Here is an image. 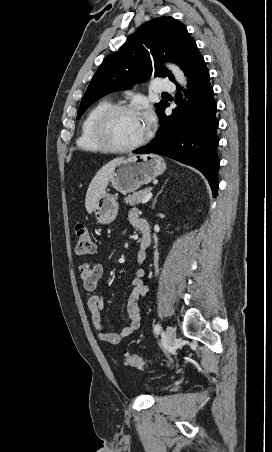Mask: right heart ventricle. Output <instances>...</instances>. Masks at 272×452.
<instances>
[{"mask_svg": "<svg viewBox=\"0 0 272 452\" xmlns=\"http://www.w3.org/2000/svg\"><path fill=\"white\" fill-rule=\"evenodd\" d=\"M112 105L110 100L104 99L97 102L86 114L77 138V146L89 152H101L106 150L98 141L94 133V122L98 114L106 107Z\"/></svg>", "mask_w": 272, "mask_h": 452, "instance_id": "right-heart-ventricle-1", "label": "right heart ventricle"}]
</instances>
